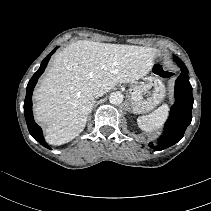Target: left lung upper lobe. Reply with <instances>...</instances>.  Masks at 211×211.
<instances>
[{"instance_id":"1","label":"left lung upper lobe","mask_w":211,"mask_h":211,"mask_svg":"<svg viewBox=\"0 0 211 211\" xmlns=\"http://www.w3.org/2000/svg\"><path fill=\"white\" fill-rule=\"evenodd\" d=\"M175 61H176L177 63L182 62V60H181L180 58H178V57H175Z\"/></svg>"}]
</instances>
